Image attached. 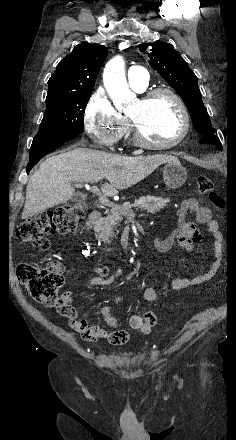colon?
Listing matches in <instances>:
<instances>
[{
  "label": "colon",
  "mask_w": 236,
  "mask_h": 440,
  "mask_svg": "<svg viewBox=\"0 0 236 440\" xmlns=\"http://www.w3.org/2000/svg\"><path fill=\"white\" fill-rule=\"evenodd\" d=\"M197 189L200 194L209 195L216 207L222 208L224 206V199L213 191V184L209 178L198 177ZM85 213L86 205L84 203L76 202L62 205L57 209L41 212L21 222L17 227L16 236L26 245L47 249L50 246V236L75 232ZM16 275L33 299L48 307L56 308L61 314H64L68 304L59 294L64 280L56 265L41 267L33 263H20L17 266ZM156 323L155 314L147 312L144 324H150L152 328Z\"/></svg>",
  "instance_id": "5ec220e1"
}]
</instances>
